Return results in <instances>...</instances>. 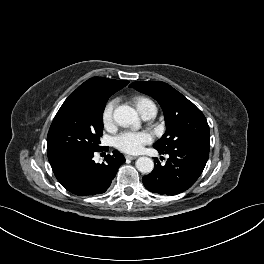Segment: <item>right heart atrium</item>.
Returning a JSON list of instances; mask_svg holds the SVG:
<instances>
[{"instance_id":"obj_1","label":"right heart atrium","mask_w":264,"mask_h":264,"mask_svg":"<svg viewBox=\"0 0 264 264\" xmlns=\"http://www.w3.org/2000/svg\"><path fill=\"white\" fill-rule=\"evenodd\" d=\"M115 105H116V101L110 100L105 104L102 110V114H101L102 123L104 127L107 129L113 127L114 124L113 114H114Z\"/></svg>"}]
</instances>
